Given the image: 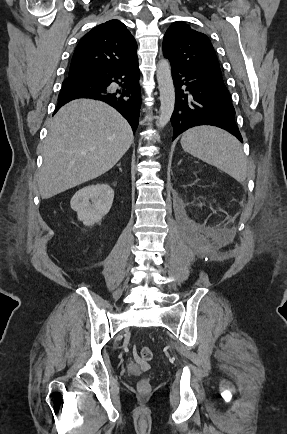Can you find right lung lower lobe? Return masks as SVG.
<instances>
[{"label":"right lung lower lobe","instance_id":"1","mask_svg":"<svg viewBox=\"0 0 287 434\" xmlns=\"http://www.w3.org/2000/svg\"><path fill=\"white\" fill-rule=\"evenodd\" d=\"M138 63L124 68H108L83 73L63 81L55 112L76 98H92L108 103L137 129L141 106ZM118 84V87L111 86Z\"/></svg>","mask_w":287,"mask_h":434}]
</instances>
